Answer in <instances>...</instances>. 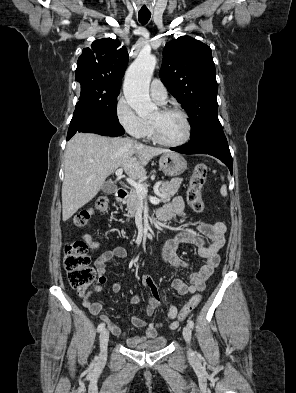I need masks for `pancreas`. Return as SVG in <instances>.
I'll use <instances>...</instances> for the list:
<instances>
[{
  "instance_id": "obj_1",
  "label": "pancreas",
  "mask_w": 296,
  "mask_h": 393,
  "mask_svg": "<svg viewBox=\"0 0 296 393\" xmlns=\"http://www.w3.org/2000/svg\"><path fill=\"white\" fill-rule=\"evenodd\" d=\"M182 183L181 178H174L171 181H165L162 183L160 186V194L158 195L159 200L161 202H168L170 201L171 197H173L177 192L178 189L180 188V185ZM146 188L148 185L143 184ZM140 196L138 195L136 190H132L125 201V204L127 205V211L129 214V217H134L139 204H140Z\"/></svg>"
}]
</instances>
